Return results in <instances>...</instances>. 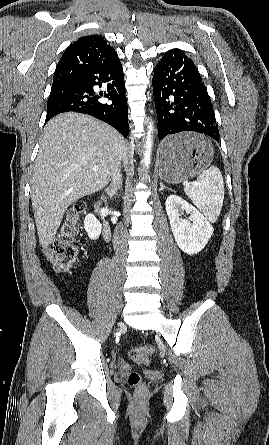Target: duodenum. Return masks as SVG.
Listing matches in <instances>:
<instances>
[{
  "mask_svg": "<svg viewBox=\"0 0 269 445\" xmlns=\"http://www.w3.org/2000/svg\"><path fill=\"white\" fill-rule=\"evenodd\" d=\"M101 210H102V203H101V201H99V202L96 204V212H97V214L99 215V217H100V219H101V223H102V234H103V237H104L106 240H110V238H111V227H110L109 222H108L106 219L102 218V216H101V214H100Z\"/></svg>",
  "mask_w": 269,
  "mask_h": 445,
  "instance_id": "410a0bca",
  "label": "duodenum"
}]
</instances>
